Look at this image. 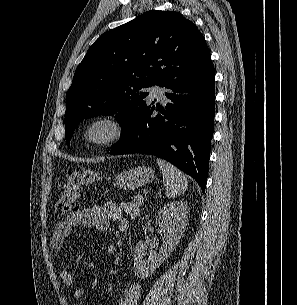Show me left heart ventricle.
Wrapping results in <instances>:
<instances>
[{"mask_svg":"<svg viewBox=\"0 0 297 305\" xmlns=\"http://www.w3.org/2000/svg\"><path fill=\"white\" fill-rule=\"evenodd\" d=\"M105 134H106V129L103 128V127L96 128V129L93 130V132H92V135H93L95 138H100V137L104 136Z\"/></svg>","mask_w":297,"mask_h":305,"instance_id":"1","label":"left heart ventricle"}]
</instances>
